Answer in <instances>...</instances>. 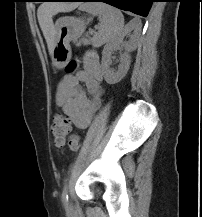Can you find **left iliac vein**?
<instances>
[{
  "mask_svg": "<svg viewBox=\"0 0 202 217\" xmlns=\"http://www.w3.org/2000/svg\"><path fill=\"white\" fill-rule=\"evenodd\" d=\"M66 208H69V203L67 202V204H66Z\"/></svg>",
  "mask_w": 202,
  "mask_h": 217,
  "instance_id": "1",
  "label": "left iliac vein"
}]
</instances>
